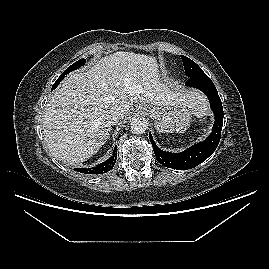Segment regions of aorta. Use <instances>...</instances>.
I'll use <instances>...</instances> for the list:
<instances>
[{"label":"aorta","instance_id":"762f6f07","mask_svg":"<svg viewBox=\"0 0 269 269\" xmlns=\"http://www.w3.org/2000/svg\"><path fill=\"white\" fill-rule=\"evenodd\" d=\"M130 127L133 133L143 134L148 129V121L144 117H135L133 118Z\"/></svg>","mask_w":269,"mask_h":269}]
</instances>
